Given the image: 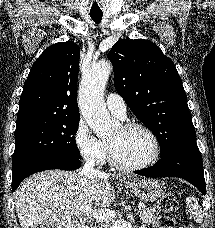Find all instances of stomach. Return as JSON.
Masks as SVG:
<instances>
[{
  "instance_id": "1",
  "label": "stomach",
  "mask_w": 215,
  "mask_h": 228,
  "mask_svg": "<svg viewBox=\"0 0 215 228\" xmlns=\"http://www.w3.org/2000/svg\"><path fill=\"white\" fill-rule=\"evenodd\" d=\"M121 182L126 184L130 192L137 196L139 200H144V202H156L157 198H160L164 194L162 186L159 180H127V178H121Z\"/></svg>"
}]
</instances>
